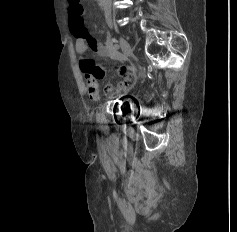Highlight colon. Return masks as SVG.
Segmentation results:
<instances>
[{
    "mask_svg": "<svg viewBox=\"0 0 237 232\" xmlns=\"http://www.w3.org/2000/svg\"><path fill=\"white\" fill-rule=\"evenodd\" d=\"M83 7L80 0H69V20L71 29L76 33L87 31L83 17Z\"/></svg>",
    "mask_w": 237,
    "mask_h": 232,
    "instance_id": "colon-1",
    "label": "colon"
}]
</instances>
